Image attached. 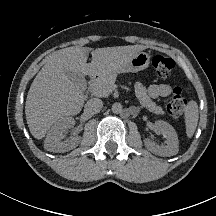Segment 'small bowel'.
Returning a JSON list of instances; mask_svg holds the SVG:
<instances>
[{"label":"small bowel","instance_id":"1","mask_svg":"<svg viewBox=\"0 0 216 216\" xmlns=\"http://www.w3.org/2000/svg\"><path fill=\"white\" fill-rule=\"evenodd\" d=\"M171 93V86L166 83L152 84L148 88V94L152 98L166 97Z\"/></svg>","mask_w":216,"mask_h":216}]
</instances>
